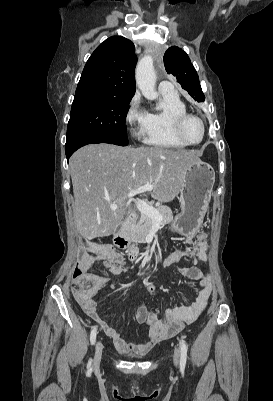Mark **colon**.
Masks as SVG:
<instances>
[{
	"label": "colon",
	"mask_w": 273,
	"mask_h": 401,
	"mask_svg": "<svg viewBox=\"0 0 273 401\" xmlns=\"http://www.w3.org/2000/svg\"><path fill=\"white\" fill-rule=\"evenodd\" d=\"M81 257H76L74 260L77 266L74 274V278H71V287H76L73 289L74 297H86L88 293H101V284H94V280L90 278L91 270L94 268L93 261H86L84 257L87 256L86 250L80 251ZM148 291H152L154 286L148 284L146 286Z\"/></svg>",
	"instance_id": "5ec220e1"
}]
</instances>
